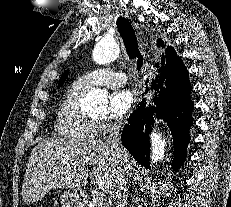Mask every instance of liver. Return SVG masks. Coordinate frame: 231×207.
<instances>
[{
    "instance_id": "liver-1",
    "label": "liver",
    "mask_w": 231,
    "mask_h": 207,
    "mask_svg": "<svg viewBox=\"0 0 231 207\" xmlns=\"http://www.w3.org/2000/svg\"><path fill=\"white\" fill-rule=\"evenodd\" d=\"M118 166L119 160L110 146L100 140L44 139L29 156L22 187L23 200L34 203L56 188L81 189L88 180L113 197ZM125 166L128 180L132 170L128 153Z\"/></svg>"
}]
</instances>
